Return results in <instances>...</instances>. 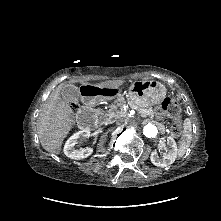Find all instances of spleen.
<instances>
[{
  "instance_id": "spleen-1",
  "label": "spleen",
  "mask_w": 221,
  "mask_h": 221,
  "mask_svg": "<svg viewBox=\"0 0 221 221\" xmlns=\"http://www.w3.org/2000/svg\"><path fill=\"white\" fill-rule=\"evenodd\" d=\"M190 131L191 127L187 124V126L184 128L183 136L180 140V149L182 153H184L191 144L192 136Z\"/></svg>"
}]
</instances>
